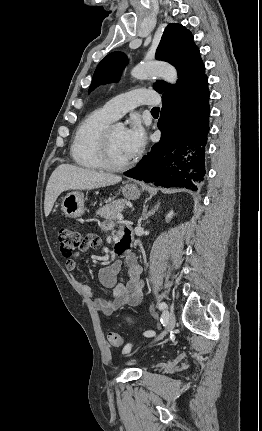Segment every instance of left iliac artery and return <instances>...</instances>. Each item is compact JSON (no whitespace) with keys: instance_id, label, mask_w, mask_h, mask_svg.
Returning a JSON list of instances; mask_svg holds the SVG:
<instances>
[{"instance_id":"44dca946","label":"left iliac artery","mask_w":262,"mask_h":431,"mask_svg":"<svg viewBox=\"0 0 262 431\" xmlns=\"http://www.w3.org/2000/svg\"><path fill=\"white\" fill-rule=\"evenodd\" d=\"M159 309L160 310H162L163 312H165V310L167 309V304L166 303H164V302H162V303H160L159 304ZM144 335L145 336H147V337H152V336H154L155 335V332L154 331H152V330H148V331H146L145 333H144ZM130 344H127L125 347H124V350H123V352L124 353H127V352H129L130 351Z\"/></svg>"}]
</instances>
